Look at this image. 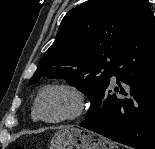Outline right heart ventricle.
Returning <instances> with one entry per match:
<instances>
[{
	"label": "right heart ventricle",
	"instance_id": "1",
	"mask_svg": "<svg viewBox=\"0 0 155 149\" xmlns=\"http://www.w3.org/2000/svg\"><path fill=\"white\" fill-rule=\"evenodd\" d=\"M32 116H33V119H34V120H37V118H36V116H35L34 114H33Z\"/></svg>",
	"mask_w": 155,
	"mask_h": 149
}]
</instances>
